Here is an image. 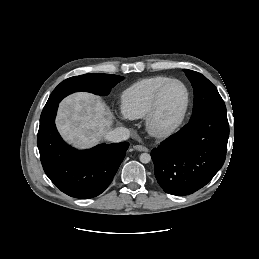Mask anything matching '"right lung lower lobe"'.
Returning <instances> with one entry per match:
<instances>
[{
    "mask_svg": "<svg viewBox=\"0 0 259 259\" xmlns=\"http://www.w3.org/2000/svg\"><path fill=\"white\" fill-rule=\"evenodd\" d=\"M58 103L44 108L40 117L37 145L43 169L65 194L92 198L111 183L126 151L128 142L101 144L90 150H76L60 137L55 116Z\"/></svg>",
    "mask_w": 259,
    "mask_h": 259,
    "instance_id": "1",
    "label": "right lung lower lobe"
}]
</instances>
